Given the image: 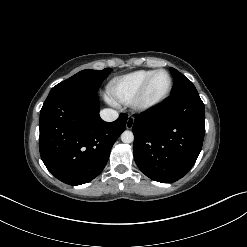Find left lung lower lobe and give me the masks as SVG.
<instances>
[{
  "mask_svg": "<svg viewBox=\"0 0 247 247\" xmlns=\"http://www.w3.org/2000/svg\"><path fill=\"white\" fill-rule=\"evenodd\" d=\"M134 159L147 177L172 183L186 175L202 149L204 104L198 93L168 98L135 116Z\"/></svg>",
  "mask_w": 247,
  "mask_h": 247,
  "instance_id": "left-lung-lower-lobe-1",
  "label": "left lung lower lobe"
}]
</instances>
